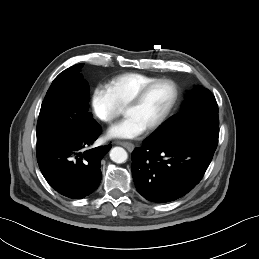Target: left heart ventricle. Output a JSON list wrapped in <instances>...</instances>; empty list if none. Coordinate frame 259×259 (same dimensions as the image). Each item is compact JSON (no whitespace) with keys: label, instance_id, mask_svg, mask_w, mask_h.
Returning <instances> with one entry per match:
<instances>
[{"label":"left heart ventricle","instance_id":"obj_1","mask_svg":"<svg viewBox=\"0 0 259 259\" xmlns=\"http://www.w3.org/2000/svg\"><path fill=\"white\" fill-rule=\"evenodd\" d=\"M172 97V87L169 84L160 83L152 87L138 105L124 110V113L126 116L134 117L147 128L161 117Z\"/></svg>","mask_w":259,"mask_h":259}]
</instances>
